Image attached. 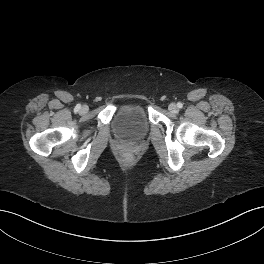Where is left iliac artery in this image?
<instances>
[{"label":"left iliac artery","instance_id":"left-iliac-artery-1","mask_svg":"<svg viewBox=\"0 0 264 264\" xmlns=\"http://www.w3.org/2000/svg\"><path fill=\"white\" fill-rule=\"evenodd\" d=\"M182 106H183V104H182V103H180V102H179V103H177V107H178V108H182Z\"/></svg>","mask_w":264,"mask_h":264}]
</instances>
